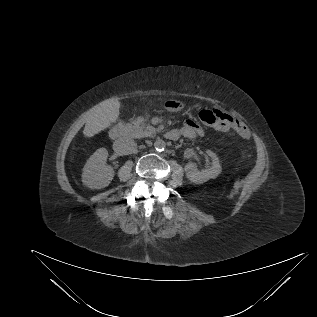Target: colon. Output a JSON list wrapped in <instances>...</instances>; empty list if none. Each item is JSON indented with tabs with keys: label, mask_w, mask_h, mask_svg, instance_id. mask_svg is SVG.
Returning <instances> with one entry per match:
<instances>
[{
	"label": "colon",
	"mask_w": 317,
	"mask_h": 317,
	"mask_svg": "<svg viewBox=\"0 0 317 317\" xmlns=\"http://www.w3.org/2000/svg\"><path fill=\"white\" fill-rule=\"evenodd\" d=\"M199 119L208 126H216L220 124L221 113L217 110L204 109L199 113Z\"/></svg>",
	"instance_id": "colon-1"
}]
</instances>
